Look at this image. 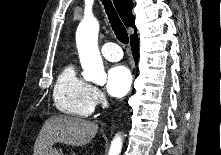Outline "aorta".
Segmentation results:
<instances>
[{
    "instance_id": "762f6f07",
    "label": "aorta",
    "mask_w": 221,
    "mask_h": 155,
    "mask_svg": "<svg viewBox=\"0 0 221 155\" xmlns=\"http://www.w3.org/2000/svg\"><path fill=\"white\" fill-rule=\"evenodd\" d=\"M98 32V21L93 17L84 18L77 28L76 44L84 79L100 84L106 81V73L98 49ZM121 149L122 139L116 135L111 142L109 155H119Z\"/></svg>"
}]
</instances>
